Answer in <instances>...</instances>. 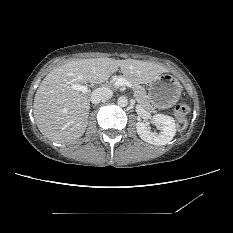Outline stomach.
<instances>
[{"label": "stomach", "mask_w": 233, "mask_h": 233, "mask_svg": "<svg viewBox=\"0 0 233 233\" xmlns=\"http://www.w3.org/2000/svg\"><path fill=\"white\" fill-rule=\"evenodd\" d=\"M182 86L171 74H162L149 83L148 99L159 109L172 107L179 100Z\"/></svg>", "instance_id": "obj_1"}]
</instances>
